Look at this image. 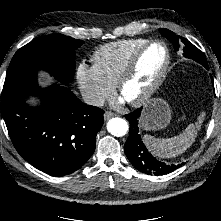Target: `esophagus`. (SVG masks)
<instances>
[{
	"instance_id": "esophagus-1",
	"label": "esophagus",
	"mask_w": 221,
	"mask_h": 221,
	"mask_svg": "<svg viewBox=\"0 0 221 221\" xmlns=\"http://www.w3.org/2000/svg\"><path fill=\"white\" fill-rule=\"evenodd\" d=\"M115 114L114 113H112V112H105V114H104V119L105 120H108V119H110L111 117H113Z\"/></svg>"
}]
</instances>
